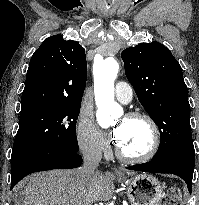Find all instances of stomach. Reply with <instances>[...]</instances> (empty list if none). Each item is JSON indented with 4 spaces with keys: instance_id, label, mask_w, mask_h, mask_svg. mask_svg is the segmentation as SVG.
Segmentation results:
<instances>
[{
    "instance_id": "stomach-1",
    "label": "stomach",
    "mask_w": 199,
    "mask_h": 205,
    "mask_svg": "<svg viewBox=\"0 0 199 205\" xmlns=\"http://www.w3.org/2000/svg\"><path fill=\"white\" fill-rule=\"evenodd\" d=\"M127 188L131 205H161L164 197V186L161 182L147 174H138L132 178H120Z\"/></svg>"
}]
</instances>
